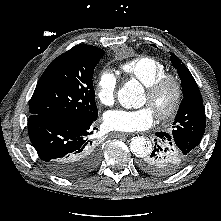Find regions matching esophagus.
Instances as JSON below:
<instances>
[{
	"label": "esophagus",
	"mask_w": 221,
	"mask_h": 221,
	"mask_svg": "<svg viewBox=\"0 0 221 221\" xmlns=\"http://www.w3.org/2000/svg\"><path fill=\"white\" fill-rule=\"evenodd\" d=\"M129 135L130 134H128V133H122V132H114V133H112L113 137H127Z\"/></svg>",
	"instance_id": "34e87169"
}]
</instances>
